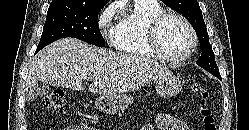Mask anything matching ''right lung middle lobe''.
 Segmentation results:
<instances>
[{
	"mask_svg": "<svg viewBox=\"0 0 249 130\" xmlns=\"http://www.w3.org/2000/svg\"><path fill=\"white\" fill-rule=\"evenodd\" d=\"M103 7L69 3L50 5L36 52L65 37L77 38L88 44L104 47L105 42L97 21L98 13Z\"/></svg>",
	"mask_w": 249,
	"mask_h": 130,
	"instance_id": "dd1d6c3e",
	"label": "right lung middle lobe"
}]
</instances>
